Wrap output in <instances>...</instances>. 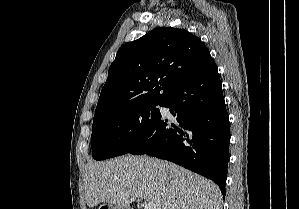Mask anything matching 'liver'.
<instances>
[{"label": "liver", "mask_w": 299, "mask_h": 209, "mask_svg": "<svg viewBox=\"0 0 299 209\" xmlns=\"http://www.w3.org/2000/svg\"><path fill=\"white\" fill-rule=\"evenodd\" d=\"M85 198L90 208L102 202L121 208L144 199L156 209H222V194L214 182L148 156L89 163Z\"/></svg>", "instance_id": "obj_1"}]
</instances>
